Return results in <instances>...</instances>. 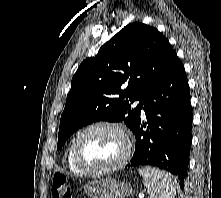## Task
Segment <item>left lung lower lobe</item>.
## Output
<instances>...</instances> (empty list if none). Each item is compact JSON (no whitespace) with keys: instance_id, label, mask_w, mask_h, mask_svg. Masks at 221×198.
I'll list each match as a JSON object with an SVG mask.
<instances>
[{"instance_id":"1","label":"left lung lower lobe","mask_w":221,"mask_h":198,"mask_svg":"<svg viewBox=\"0 0 221 198\" xmlns=\"http://www.w3.org/2000/svg\"><path fill=\"white\" fill-rule=\"evenodd\" d=\"M142 106L147 123L139 118L133 130L136 146L131 166H157L184 180L191 144L192 109L185 69L176 53L146 94Z\"/></svg>"}]
</instances>
